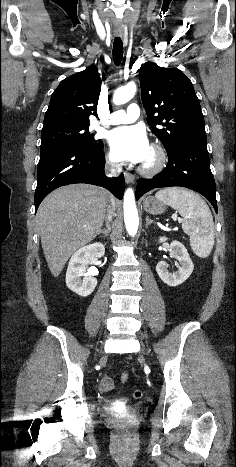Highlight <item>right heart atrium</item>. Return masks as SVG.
<instances>
[{"instance_id":"d8ad5b80","label":"right heart atrium","mask_w":236,"mask_h":467,"mask_svg":"<svg viewBox=\"0 0 236 467\" xmlns=\"http://www.w3.org/2000/svg\"><path fill=\"white\" fill-rule=\"evenodd\" d=\"M108 161L112 166H117L118 165L117 160L113 156V153H109Z\"/></svg>"}]
</instances>
